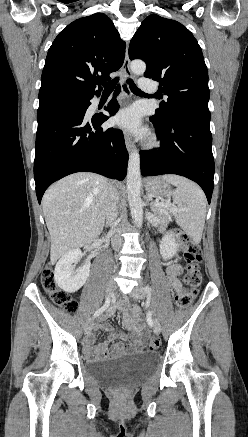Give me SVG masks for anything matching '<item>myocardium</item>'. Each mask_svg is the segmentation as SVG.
Instances as JSON below:
<instances>
[{"mask_svg": "<svg viewBox=\"0 0 248 437\" xmlns=\"http://www.w3.org/2000/svg\"><path fill=\"white\" fill-rule=\"evenodd\" d=\"M157 145V142L155 141V140H151L150 142H149V146H156Z\"/></svg>", "mask_w": 248, "mask_h": 437, "instance_id": "f54148a6", "label": "myocardium"}]
</instances>
